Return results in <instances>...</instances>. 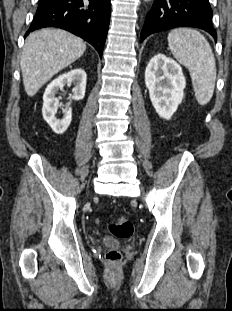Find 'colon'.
I'll return each mask as SVG.
<instances>
[{"label": "colon", "mask_w": 232, "mask_h": 311, "mask_svg": "<svg viewBox=\"0 0 232 311\" xmlns=\"http://www.w3.org/2000/svg\"><path fill=\"white\" fill-rule=\"evenodd\" d=\"M109 231L117 238H129L133 234V224L125 217H118L109 224ZM105 258L110 265H117L122 259V254L119 250L111 249L107 251Z\"/></svg>", "instance_id": "colon-1"}]
</instances>
